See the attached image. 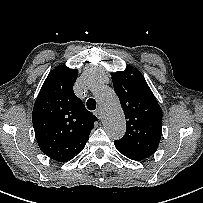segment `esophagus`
<instances>
[{"label": "esophagus", "instance_id": "1", "mask_svg": "<svg viewBox=\"0 0 203 203\" xmlns=\"http://www.w3.org/2000/svg\"><path fill=\"white\" fill-rule=\"evenodd\" d=\"M95 115L99 120H101L102 119V111H101V109H97L95 111Z\"/></svg>", "mask_w": 203, "mask_h": 203}]
</instances>
